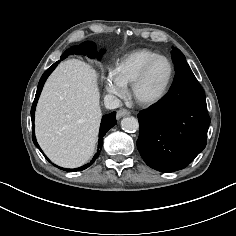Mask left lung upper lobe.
<instances>
[{
    "label": "left lung upper lobe",
    "instance_id": "left-lung-upper-lobe-1",
    "mask_svg": "<svg viewBox=\"0 0 236 236\" xmlns=\"http://www.w3.org/2000/svg\"><path fill=\"white\" fill-rule=\"evenodd\" d=\"M172 59H173V62L175 64V70L176 71H178L180 69H183V68H188L189 67V65H188V63L185 59V56L177 48H173V50H172Z\"/></svg>",
    "mask_w": 236,
    "mask_h": 236
}]
</instances>
